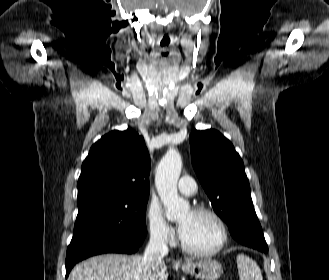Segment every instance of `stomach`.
Segmentation results:
<instances>
[{
    "instance_id": "stomach-1",
    "label": "stomach",
    "mask_w": 329,
    "mask_h": 280,
    "mask_svg": "<svg viewBox=\"0 0 329 280\" xmlns=\"http://www.w3.org/2000/svg\"><path fill=\"white\" fill-rule=\"evenodd\" d=\"M183 271L201 280H217L223 273L222 265L212 259H202L183 265Z\"/></svg>"
}]
</instances>
